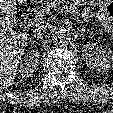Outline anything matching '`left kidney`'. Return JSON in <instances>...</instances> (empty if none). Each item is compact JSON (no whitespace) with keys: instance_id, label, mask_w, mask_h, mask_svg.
<instances>
[{"instance_id":"1","label":"left kidney","mask_w":113,"mask_h":113,"mask_svg":"<svg viewBox=\"0 0 113 113\" xmlns=\"http://www.w3.org/2000/svg\"><path fill=\"white\" fill-rule=\"evenodd\" d=\"M82 52V57L90 69L100 72L109 69L113 58L110 48L99 46L96 43H89L82 47Z\"/></svg>"}]
</instances>
